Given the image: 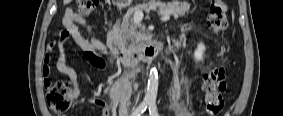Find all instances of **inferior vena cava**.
Returning <instances> with one entry per match:
<instances>
[{"label":"inferior vena cava","mask_w":283,"mask_h":116,"mask_svg":"<svg viewBox=\"0 0 283 116\" xmlns=\"http://www.w3.org/2000/svg\"><path fill=\"white\" fill-rule=\"evenodd\" d=\"M139 97H140V93H138V95H137V97H136V102H138Z\"/></svg>","instance_id":"1"}]
</instances>
